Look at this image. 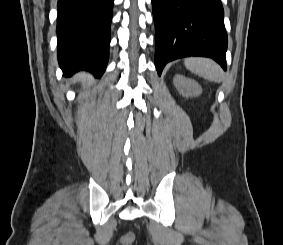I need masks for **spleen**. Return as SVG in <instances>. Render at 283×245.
I'll return each mask as SVG.
<instances>
[{
    "label": "spleen",
    "mask_w": 283,
    "mask_h": 245,
    "mask_svg": "<svg viewBox=\"0 0 283 245\" xmlns=\"http://www.w3.org/2000/svg\"><path fill=\"white\" fill-rule=\"evenodd\" d=\"M187 69L204 79L220 83L223 73L220 66L208 58L192 57L184 61Z\"/></svg>",
    "instance_id": "3e777b00"
}]
</instances>
